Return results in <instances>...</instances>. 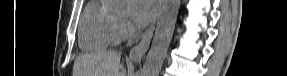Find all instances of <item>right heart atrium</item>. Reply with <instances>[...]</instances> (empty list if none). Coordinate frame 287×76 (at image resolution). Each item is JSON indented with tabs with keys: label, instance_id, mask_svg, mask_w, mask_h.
<instances>
[{
	"label": "right heart atrium",
	"instance_id": "d8ad5b80",
	"mask_svg": "<svg viewBox=\"0 0 287 76\" xmlns=\"http://www.w3.org/2000/svg\"><path fill=\"white\" fill-rule=\"evenodd\" d=\"M132 32V26L128 20L122 19L118 21L117 34L119 39L128 37Z\"/></svg>",
	"mask_w": 287,
	"mask_h": 76
}]
</instances>
